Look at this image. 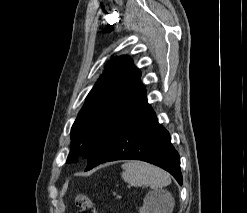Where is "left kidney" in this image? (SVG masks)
<instances>
[{
	"instance_id": "left-kidney-1",
	"label": "left kidney",
	"mask_w": 247,
	"mask_h": 213,
	"mask_svg": "<svg viewBox=\"0 0 247 213\" xmlns=\"http://www.w3.org/2000/svg\"><path fill=\"white\" fill-rule=\"evenodd\" d=\"M139 213H158L154 208V202L152 200V195H147L144 199L143 206L139 209Z\"/></svg>"
}]
</instances>
